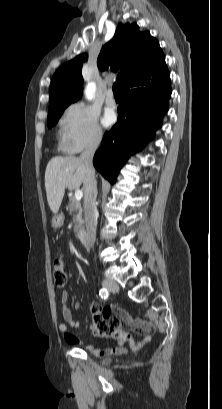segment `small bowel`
Here are the masks:
<instances>
[{"instance_id": "obj_1", "label": "small bowel", "mask_w": 222, "mask_h": 409, "mask_svg": "<svg viewBox=\"0 0 222 409\" xmlns=\"http://www.w3.org/2000/svg\"><path fill=\"white\" fill-rule=\"evenodd\" d=\"M70 295L68 292H63L61 294V305H62V318L63 322L58 324V329L63 334L65 341L72 346L79 345L81 340L75 336L73 333L69 331L71 329L79 328L80 324L77 319L73 316V310L70 306ZM76 309L80 307L79 304H75L74 306ZM113 310V319L117 320L119 323V327L121 331L125 334L122 340H119V345L114 348H105L99 349L92 346H88V351L93 354L94 356H106L111 354H125L127 352V348L125 347V343H128L132 349H140L146 343L150 341L149 333L151 330L154 329V324L143 321V320H135L132 319L129 314L120 308L112 307ZM129 332H135L138 334L144 335L142 339L139 341H134L130 336Z\"/></svg>"}]
</instances>
